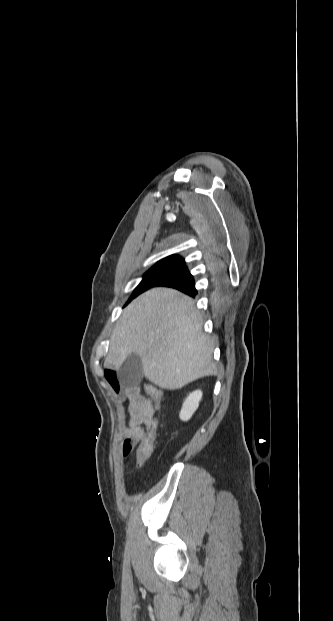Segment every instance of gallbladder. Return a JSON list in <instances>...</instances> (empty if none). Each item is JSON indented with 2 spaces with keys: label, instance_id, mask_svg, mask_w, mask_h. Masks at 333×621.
<instances>
[{
  "label": "gallbladder",
  "instance_id": "1",
  "mask_svg": "<svg viewBox=\"0 0 333 621\" xmlns=\"http://www.w3.org/2000/svg\"><path fill=\"white\" fill-rule=\"evenodd\" d=\"M118 381L126 386H136L143 378V366L140 357L134 353L129 355L117 371Z\"/></svg>",
  "mask_w": 333,
  "mask_h": 621
}]
</instances>
